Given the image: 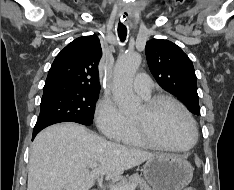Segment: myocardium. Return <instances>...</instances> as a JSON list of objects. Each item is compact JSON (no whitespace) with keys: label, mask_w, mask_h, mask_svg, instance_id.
Segmentation results:
<instances>
[{"label":"myocardium","mask_w":234,"mask_h":190,"mask_svg":"<svg viewBox=\"0 0 234 190\" xmlns=\"http://www.w3.org/2000/svg\"><path fill=\"white\" fill-rule=\"evenodd\" d=\"M165 103H170V104L175 105L186 116L192 128V132H193V138L190 144L186 146H182V147L171 146V145L162 143L154 135L151 129V119L153 115L155 114V112L157 111V109ZM144 108L146 112L145 118L134 119V123H135V126L137 128V131L140 137L149 145L158 147L161 149H165V150L175 151V152H185V151L192 149L196 145L198 141V129H197L196 122L193 116L191 115V113L189 112V110L180 101L168 95H157L152 98H149L145 102Z\"/></svg>","instance_id":"myocardium-1"}]
</instances>
